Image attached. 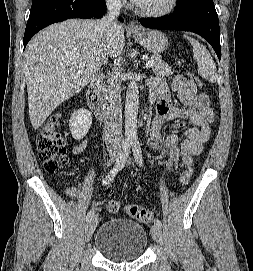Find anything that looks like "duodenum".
I'll list each match as a JSON object with an SVG mask.
<instances>
[{"label": "duodenum", "instance_id": "duodenum-1", "mask_svg": "<svg viewBox=\"0 0 253 271\" xmlns=\"http://www.w3.org/2000/svg\"><path fill=\"white\" fill-rule=\"evenodd\" d=\"M103 77V74H99L96 79L90 82L87 89V100L89 107L94 112V114L102 121L107 119V109L99 93V87ZM152 99L153 96L149 95L147 98L148 106L152 104Z\"/></svg>", "mask_w": 253, "mask_h": 271}]
</instances>
